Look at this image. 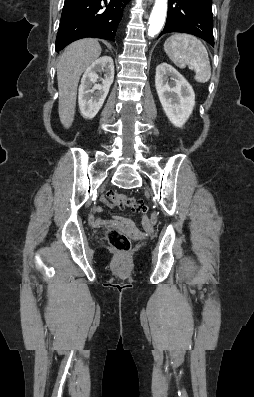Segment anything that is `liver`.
Segmentation results:
<instances>
[{
	"label": "liver",
	"mask_w": 254,
	"mask_h": 397,
	"mask_svg": "<svg viewBox=\"0 0 254 397\" xmlns=\"http://www.w3.org/2000/svg\"><path fill=\"white\" fill-rule=\"evenodd\" d=\"M100 54L99 42L89 38L68 45L59 56L57 63L58 112L62 125L67 129L71 127L74 120L79 79Z\"/></svg>",
	"instance_id": "obj_1"
}]
</instances>
